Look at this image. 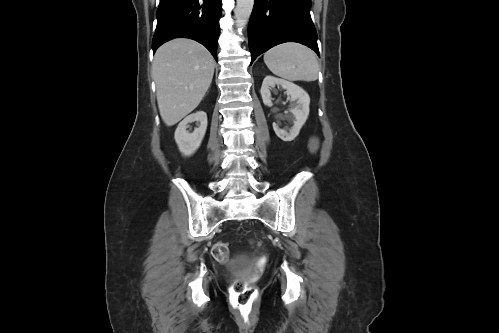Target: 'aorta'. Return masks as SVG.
<instances>
[{"mask_svg":"<svg viewBox=\"0 0 499 333\" xmlns=\"http://www.w3.org/2000/svg\"><path fill=\"white\" fill-rule=\"evenodd\" d=\"M254 5V0H237L235 8V25L238 29H243L250 18Z\"/></svg>","mask_w":499,"mask_h":333,"instance_id":"762f6f07","label":"aorta"}]
</instances>
